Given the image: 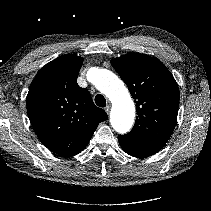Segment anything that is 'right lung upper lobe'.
Returning a JSON list of instances; mask_svg holds the SVG:
<instances>
[{"instance_id":"obj_1","label":"right lung upper lobe","mask_w":211,"mask_h":211,"mask_svg":"<svg viewBox=\"0 0 211 211\" xmlns=\"http://www.w3.org/2000/svg\"><path fill=\"white\" fill-rule=\"evenodd\" d=\"M83 58L63 55L41 68L27 95V113L39 140L64 157L80 153L108 119L89 91L77 84Z\"/></svg>"}]
</instances>
